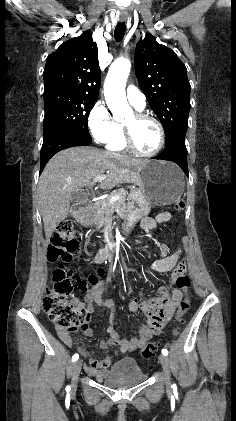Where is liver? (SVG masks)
<instances>
[{"label": "liver", "mask_w": 236, "mask_h": 421, "mask_svg": "<svg viewBox=\"0 0 236 421\" xmlns=\"http://www.w3.org/2000/svg\"><path fill=\"white\" fill-rule=\"evenodd\" d=\"M146 160L124 156L99 148L71 146L54 154L38 182V198L47 243L55 227L69 215L72 194L79 186L95 184L94 176L106 172L100 188H113L118 182H138L139 170Z\"/></svg>", "instance_id": "1"}]
</instances>
